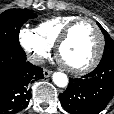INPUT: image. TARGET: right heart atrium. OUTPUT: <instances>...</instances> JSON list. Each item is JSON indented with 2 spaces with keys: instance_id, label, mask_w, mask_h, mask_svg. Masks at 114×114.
I'll list each match as a JSON object with an SVG mask.
<instances>
[{
  "instance_id": "right-heart-atrium-1",
  "label": "right heart atrium",
  "mask_w": 114,
  "mask_h": 114,
  "mask_svg": "<svg viewBox=\"0 0 114 114\" xmlns=\"http://www.w3.org/2000/svg\"><path fill=\"white\" fill-rule=\"evenodd\" d=\"M19 42L34 63H41L50 54L51 48L41 41L31 29L20 30Z\"/></svg>"
}]
</instances>
